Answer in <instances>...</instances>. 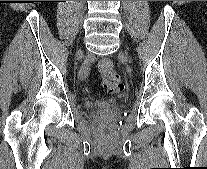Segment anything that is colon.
<instances>
[{
    "mask_svg": "<svg viewBox=\"0 0 207 169\" xmlns=\"http://www.w3.org/2000/svg\"><path fill=\"white\" fill-rule=\"evenodd\" d=\"M98 70L102 79L103 86L111 94H119L124 90V84L119 74L114 69L112 61L102 59L98 64ZM102 135L106 138L110 137L111 131L105 127L102 129Z\"/></svg>",
    "mask_w": 207,
    "mask_h": 169,
    "instance_id": "colon-1",
    "label": "colon"
}]
</instances>
